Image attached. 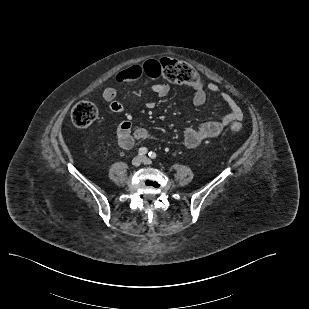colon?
<instances>
[{
    "label": "colon",
    "mask_w": 309,
    "mask_h": 309,
    "mask_svg": "<svg viewBox=\"0 0 309 309\" xmlns=\"http://www.w3.org/2000/svg\"><path fill=\"white\" fill-rule=\"evenodd\" d=\"M149 65L155 66L159 75L170 82L191 87L200 82V75L197 70L184 61L162 58L159 61H149ZM97 114L98 111L94 104L81 101L72 108L71 120L75 126L84 128L93 123ZM230 128L233 132H239L242 125L239 122H234Z\"/></svg>",
    "instance_id": "1"
}]
</instances>
